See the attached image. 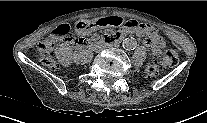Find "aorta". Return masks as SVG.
<instances>
[{
  "label": "aorta",
  "instance_id": "obj_1",
  "mask_svg": "<svg viewBox=\"0 0 207 123\" xmlns=\"http://www.w3.org/2000/svg\"><path fill=\"white\" fill-rule=\"evenodd\" d=\"M122 45L125 49L132 50L136 47L137 41H136L135 38L129 37V38H126V39L123 40Z\"/></svg>",
  "mask_w": 207,
  "mask_h": 123
}]
</instances>
